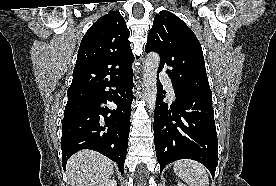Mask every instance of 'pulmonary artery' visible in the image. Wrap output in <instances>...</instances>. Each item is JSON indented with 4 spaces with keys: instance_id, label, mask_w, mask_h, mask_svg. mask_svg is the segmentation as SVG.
<instances>
[{
    "instance_id": "pulmonary-artery-1",
    "label": "pulmonary artery",
    "mask_w": 276,
    "mask_h": 186,
    "mask_svg": "<svg viewBox=\"0 0 276 186\" xmlns=\"http://www.w3.org/2000/svg\"><path fill=\"white\" fill-rule=\"evenodd\" d=\"M161 80H162L165 88L167 89L168 93L171 96H174V89L172 86L171 79L165 73H161Z\"/></svg>"
}]
</instances>
